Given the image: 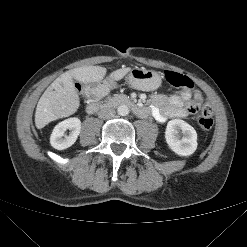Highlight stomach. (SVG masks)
Segmentation results:
<instances>
[{
    "label": "stomach",
    "mask_w": 247,
    "mask_h": 247,
    "mask_svg": "<svg viewBox=\"0 0 247 247\" xmlns=\"http://www.w3.org/2000/svg\"><path fill=\"white\" fill-rule=\"evenodd\" d=\"M128 83L135 89L151 91L161 85V76L158 72L135 67L127 76Z\"/></svg>",
    "instance_id": "obj_1"
}]
</instances>
